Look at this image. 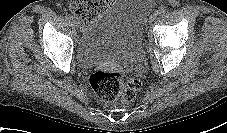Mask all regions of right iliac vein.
Segmentation results:
<instances>
[{
  "mask_svg": "<svg viewBox=\"0 0 227 133\" xmlns=\"http://www.w3.org/2000/svg\"><path fill=\"white\" fill-rule=\"evenodd\" d=\"M72 24L75 26V27H77L78 25H77V21L76 20H72Z\"/></svg>",
  "mask_w": 227,
  "mask_h": 133,
  "instance_id": "obj_1",
  "label": "right iliac vein"
}]
</instances>
